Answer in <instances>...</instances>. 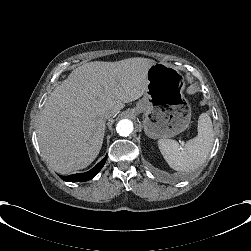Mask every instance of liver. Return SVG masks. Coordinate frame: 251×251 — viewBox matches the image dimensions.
Masks as SVG:
<instances>
[{"label":"liver","instance_id":"1","mask_svg":"<svg viewBox=\"0 0 251 251\" xmlns=\"http://www.w3.org/2000/svg\"><path fill=\"white\" fill-rule=\"evenodd\" d=\"M154 63L144 57L91 61L56 86L37 127L41 155L56 172L69 174L95 160L106 120L144 94Z\"/></svg>","mask_w":251,"mask_h":251}]
</instances>
